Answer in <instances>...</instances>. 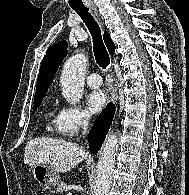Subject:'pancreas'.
Masks as SVG:
<instances>
[{
	"instance_id": "cf45deb5",
	"label": "pancreas",
	"mask_w": 189,
	"mask_h": 195,
	"mask_svg": "<svg viewBox=\"0 0 189 195\" xmlns=\"http://www.w3.org/2000/svg\"><path fill=\"white\" fill-rule=\"evenodd\" d=\"M66 187L67 185L64 182L59 183L56 188V193L58 195H62Z\"/></svg>"
}]
</instances>
